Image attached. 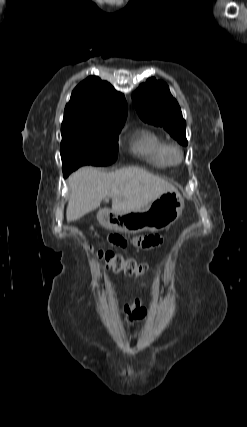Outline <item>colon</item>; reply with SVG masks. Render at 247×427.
Segmentation results:
<instances>
[{
	"mask_svg": "<svg viewBox=\"0 0 247 427\" xmlns=\"http://www.w3.org/2000/svg\"><path fill=\"white\" fill-rule=\"evenodd\" d=\"M96 256L107 268L115 272H123L128 276L142 277L148 271V266L145 263L125 258L121 254L111 250H97Z\"/></svg>",
	"mask_w": 247,
	"mask_h": 427,
	"instance_id": "1",
	"label": "colon"
}]
</instances>
